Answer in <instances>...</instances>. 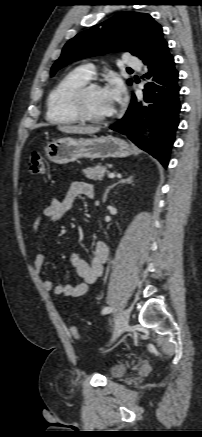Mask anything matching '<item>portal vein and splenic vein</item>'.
<instances>
[{"mask_svg":"<svg viewBox=\"0 0 202 437\" xmlns=\"http://www.w3.org/2000/svg\"><path fill=\"white\" fill-rule=\"evenodd\" d=\"M108 177H109V178H114V177H115V173H109V174H108Z\"/></svg>","mask_w":202,"mask_h":437,"instance_id":"portal-vein-and-splenic-vein-1","label":"portal vein and splenic vein"}]
</instances>
